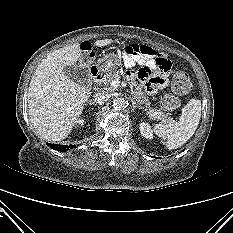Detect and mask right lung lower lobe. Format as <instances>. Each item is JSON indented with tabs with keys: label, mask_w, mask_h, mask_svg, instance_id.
<instances>
[{
	"label": "right lung lower lobe",
	"mask_w": 233,
	"mask_h": 233,
	"mask_svg": "<svg viewBox=\"0 0 233 233\" xmlns=\"http://www.w3.org/2000/svg\"><path fill=\"white\" fill-rule=\"evenodd\" d=\"M48 145L52 148V149H55L57 151H61V152H64V151H67L69 149H72V148H75L76 146L75 145H58V144H49Z\"/></svg>",
	"instance_id": "obj_1"
}]
</instances>
